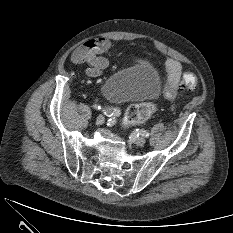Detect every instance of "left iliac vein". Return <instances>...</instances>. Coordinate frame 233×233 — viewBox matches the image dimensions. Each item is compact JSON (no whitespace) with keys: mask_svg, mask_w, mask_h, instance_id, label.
Instances as JSON below:
<instances>
[{"mask_svg":"<svg viewBox=\"0 0 233 233\" xmlns=\"http://www.w3.org/2000/svg\"><path fill=\"white\" fill-rule=\"evenodd\" d=\"M145 143L146 139L142 136L135 139V144L138 146H143Z\"/></svg>","mask_w":233,"mask_h":233,"instance_id":"4c4485c4","label":"left iliac vein"}]
</instances>
